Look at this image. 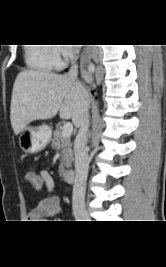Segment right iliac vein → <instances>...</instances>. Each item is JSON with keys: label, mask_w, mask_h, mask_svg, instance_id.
Here are the masks:
<instances>
[{"label": "right iliac vein", "mask_w": 166, "mask_h": 267, "mask_svg": "<svg viewBox=\"0 0 166 267\" xmlns=\"http://www.w3.org/2000/svg\"><path fill=\"white\" fill-rule=\"evenodd\" d=\"M75 217L78 220H88L89 219L87 213L85 211H83V210L82 211H76L75 212Z\"/></svg>", "instance_id": "1"}]
</instances>
